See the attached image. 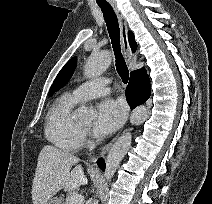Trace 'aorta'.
Returning a JSON list of instances; mask_svg holds the SVG:
<instances>
[{
  "label": "aorta",
  "mask_w": 212,
  "mask_h": 204,
  "mask_svg": "<svg viewBox=\"0 0 212 204\" xmlns=\"http://www.w3.org/2000/svg\"><path fill=\"white\" fill-rule=\"evenodd\" d=\"M112 60V55L109 51L104 50L98 53H93L89 56L84 66V75L86 78L92 79L100 76L108 68ZM80 119H91L94 116V111L89 107H80L78 109ZM149 117V112L146 107L139 106L134 109L130 116V122L133 125L143 123ZM132 135L126 131L121 135L110 149L107 159L104 176L107 181H110L114 176L119 164L130 148Z\"/></svg>",
  "instance_id": "1"
}]
</instances>
